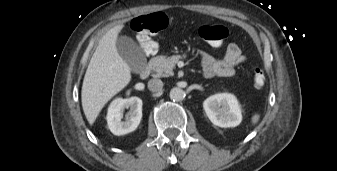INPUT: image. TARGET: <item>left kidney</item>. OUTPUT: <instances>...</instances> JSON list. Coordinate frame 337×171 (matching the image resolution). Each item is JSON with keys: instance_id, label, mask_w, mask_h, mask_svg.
Segmentation results:
<instances>
[{"instance_id": "5707ae66", "label": "left kidney", "mask_w": 337, "mask_h": 171, "mask_svg": "<svg viewBox=\"0 0 337 171\" xmlns=\"http://www.w3.org/2000/svg\"><path fill=\"white\" fill-rule=\"evenodd\" d=\"M203 108L210 121L219 127H236L242 121L237 98L230 93H219L208 97Z\"/></svg>"}]
</instances>
